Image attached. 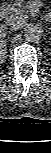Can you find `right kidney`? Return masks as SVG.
I'll list each match as a JSON object with an SVG mask.
<instances>
[{"mask_svg": "<svg viewBox=\"0 0 51 153\" xmlns=\"http://www.w3.org/2000/svg\"><path fill=\"white\" fill-rule=\"evenodd\" d=\"M5 51H6V45H5V43L1 42L0 43V54H1L2 58L5 55Z\"/></svg>", "mask_w": 51, "mask_h": 153, "instance_id": "obj_1", "label": "right kidney"}]
</instances>
